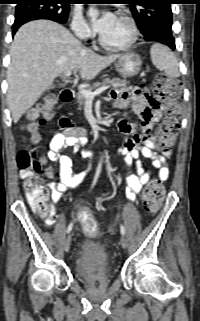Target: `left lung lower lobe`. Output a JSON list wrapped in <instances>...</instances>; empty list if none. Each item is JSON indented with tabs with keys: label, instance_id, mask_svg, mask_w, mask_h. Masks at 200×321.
Returning a JSON list of instances; mask_svg holds the SVG:
<instances>
[{
	"label": "left lung lower lobe",
	"instance_id": "left-lung-lower-lobe-1",
	"mask_svg": "<svg viewBox=\"0 0 200 321\" xmlns=\"http://www.w3.org/2000/svg\"><path fill=\"white\" fill-rule=\"evenodd\" d=\"M144 39L147 41H154L162 43L168 47H170L172 50L175 49V42L172 35H155L154 37H147L144 36Z\"/></svg>",
	"mask_w": 200,
	"mask_h": 321
}]
</instances>
